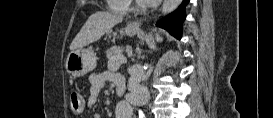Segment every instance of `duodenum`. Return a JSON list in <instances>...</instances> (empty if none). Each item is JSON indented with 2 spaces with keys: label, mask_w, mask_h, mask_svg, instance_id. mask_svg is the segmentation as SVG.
Segmentation results:
<instances>
[{
  "label": "duodenum",
  "mask_w": 273,
  "mask_h": 118,
  "mask_svg": "<svg viewBox=\"0 0 273 118\" xmlns=\"http://www.w3.org/2000/svg\"><path fill=\"white\" fill-rule=\"evenodd\" d=\"M115 84V87H116V91L118 94H123L126 90V84H125V81L124 80H116L114 82Z\"/></svg>",
  "instance_id": "1"
}]
</instances>
